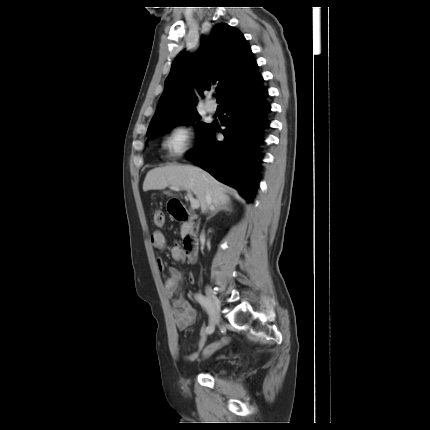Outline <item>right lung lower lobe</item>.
I'll return each mask as SVG.
<instances>
[{"label":"right lung lower lobe","mask_w":430,"mask_h":430,"mask_svg":"<svg viewBox=\"0 0 430 430\" xmlns=\"http://www.w3.org/2000/svg\"><path fill=\"white\" fill-rule=\"evenodd\" d=\"M261 75L235 86L222 102L229 116L221 130L224 140L215 137L218 128L211 130L192 153V159L202 169L219 181L239 189L240 194L251 202L258 183L264 129L269 126L270 105L268 92L262 85Z\"/></svg>","instance_id":"1"}]
</instances>
